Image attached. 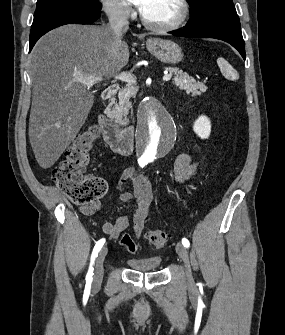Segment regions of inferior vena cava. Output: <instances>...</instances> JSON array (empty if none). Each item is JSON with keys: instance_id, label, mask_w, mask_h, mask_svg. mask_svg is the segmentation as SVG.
I'll return each instance as SVG.
<instances>
[{"instance_id": "1", "label": "inferior vena cava", "mask_w": 285, "mask_h": 335, "mask_svg": "<svg viewBox=\"0 0 285 335\" xmlns=\"http://www.w3.org/2000/svg\"><path fill=\"white\" fill-rule=\"evenodd\" d=\"M129 6L123 0H111L109 6V28L115 32L118 38L129 30Z\"/></svg>"}]
</instances>
